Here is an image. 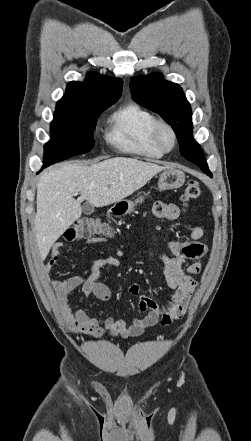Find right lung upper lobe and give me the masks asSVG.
<instances>
[{
	"label": "right lung upper lobe",
	"mask_w": 251,
	"mask_h": 441,
	"mask_svg": "<svg viewBox=\"0 0 251 441\" xmlns=\"http://www.w3.org/2000/svg\"><path fill=\"white\" fill-rule=\"evenodd\" d=\"M123 81L89 73L85 82L73 81L67 85L66 92L57 102V110L77 108L90 99L117 101L120 98Z\"/></svg>",
	"instance_id": "1"
}]
</instances>
